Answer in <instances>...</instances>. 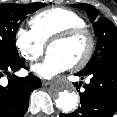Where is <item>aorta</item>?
Listing matches in <instances>:
<instances>
[{
	"mask_svg": "<svg viewBox=\"0 0 117 117\" xmlns=\"http://www.w3.org/2000/svg\"><path fill=\"white\" fill-rule=\"evenodd\" d=\"M56 107L61 109L64 113H68L77 107L78 95L72 91L64 90L59 92L58 98L56 99Z\"/></svg>",
	"mask_w": 117,
	"mask_h": 117,
	"instance_id": "aorta-1",
	"label": "aorta"
}]
</instances>
